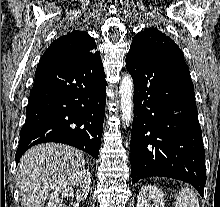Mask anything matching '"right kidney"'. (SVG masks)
Listing matches in <instances>:
<instances>
[{
  "mask_svg": "<svg viewBox=\"0 0 220 207\" xmlns=\"http://www.w3.org/2000/svg\"><path fill=\"white\" fill-rule=\"evenodd\" d=\"M91 183V173L88 170H78L71 176L63 179L52 191L47 207H63V199L70 196L73 187H79L76 191V202L73 207H79V203L87 198Z\"/></svg>",
  "mask_w": 220,
  "mask_h": 207,
  "instance_id": "right-kidney-1",
  "label": "right kidney"
}]
</instances>
